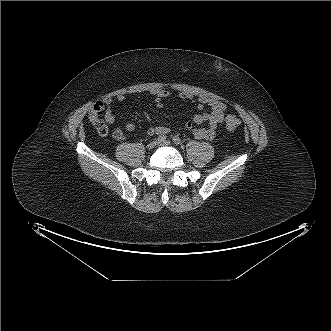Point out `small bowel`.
Listing matches in <instances>:
<instances>
[{"mask_svg":"<svg viewBox=\"0 0 331 331\" xmlns=\"http://www.w3.org/2000/svg\"><path fill=\"white\" fill-rule=\"evenodd\" d=\"M153 96L154 105L157 108H162L167 99H170L175 96L170 91L165 89H152L149 92ZM177 97L182 100H188L196 104V108L198 110H202L207 108L206 112L198 113L193 117V122H186L185 127L189 130H192V133L196 139L199 140H212L216 135V130L218 126L222 123L224 113L226 110V105L220 101L219 99L209 97V96H195L194 94L182 91L177 94ZM125 95L118 94L116 96L107 95L101 101H98L94 104V106L90 109L89 119L95 125L100 119V115L103 113L104 121L108 124H112L115 120V115L112 110V104L116 101H124ZM143 115L145 118L150 121L148 113L144 112ZM204 122H207V128H194L193 123L197 125H201ZM125 129L128 132H132L135 130V124L133 122H127L125 125ZM170 128L163 125H149L147 129V133L149 135H165L169 133ZM116 139L122 138V132L117 130L114 133Z\"/></svg>","mask_w":331,"mask_h":331,"instance_id":"c3829d8e","label":"small bowel"}]
</instances>
